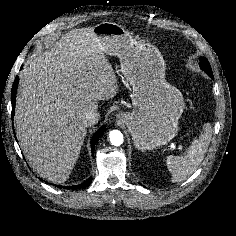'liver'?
Listing matches in <instances>:
<instances>
[{
    "instance_id": "obj_1",
    "label": "liver",
    "mask_w": 236,
    "mask_h": 236,
    "mask_svg": "<svg viewBox=\"0 0 236 236\" xmlns=\"http://www.w3.org/2000/svg\"><path fill=\"white\" fill-rule=\"evenodd\" d=\"M117 91L93 28L71 30L33 55L20 73L14 119L20 147L40 177L68 179L87 133L84 112Z\"/></svg>"
}]
</instances>
